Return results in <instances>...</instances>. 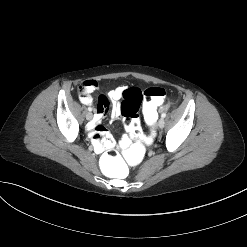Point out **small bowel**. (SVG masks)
Masks as SVG:
<instances>
[{"label":"small bowel","mask_w":247,"mask_h":247,"mask_svg":"<svg viewBox=\"0 0 247 247\" xmlns=\"http://www.w3.org/2000/svg\"><path fill=\"white\" fill-rule=\"evenodd\" d=\"M86 83L89 86L88 92L80 96V101L85 105H91L93 103V98L90 93L97 88V82L94 80H89L86 81ZM124 91V86H118L109 90L107 96H101L99 98L95 109V118L90 128V137L92 139L94 150L97 153L110 150L115 145L113 137L99 123L109 109H111L113 117H118L120 115L119 100L122 98ZM130 143L131 140L129 136L124 135L121 138L119 145L122 148Z\"/></svg>","instance_id":"small-bowel-1"}]
</instances>
